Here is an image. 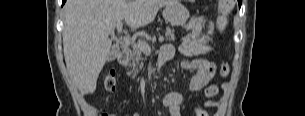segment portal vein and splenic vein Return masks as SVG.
Segmentation results:
<instances>
[{"instance_id": "18ae733b", "label": "portal vein and splenic vein", "mask_w": 305, "mask_h": 116, "mask_svg": "<svg viewBox=\"0 0 305 116\" xmlns=\"http://www.w3.org/2000/svg\"><path fill=\"white\" fill-rule=\"evenodd\" d=\"M116 28H117V31L120 33L121 30H122V22H118L116 24ZM158 40L160 42H163L164 41V37L163 36H159ZM123 41H124L125 45H127V46H129L131 44L130 39L127 38V37H124ZM132 47L133 48H137V49L141 50L144 53H148V54L151 53V47L146 42H143V41H140L138 43L133 44Z\"/></svg>"}]
</instances>
